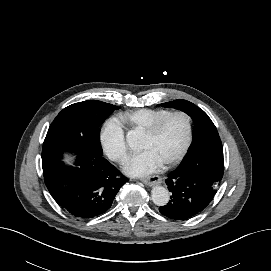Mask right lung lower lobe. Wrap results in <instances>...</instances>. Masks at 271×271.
I'll list each match as a JSON object with an SVG mask.
<instances>
[{"instance_id":"1","label":"right lung lower lobe","mask_w":271,"mask_h":271,"mask_svg":"<svg viewBox=\"0 0 271 271\" xmlns=\"http://www.w3.org/2000/svg\"><path fill=\"white\" fill-rule=\"evenodd\" d=\"M76 166L66 167L61 155L42 161L46 187L54 200L75 217L92 218L107 211L127 181L102 156L74 150Z\"/></svg>"}]
</instances>
